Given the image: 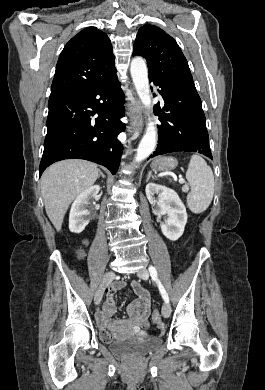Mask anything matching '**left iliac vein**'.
I'll list each match as a JSON object with an SVG mask.
<instances>
[{"mask_svg":"<svg viewBox=\"0 0 265 390\" xmlns=\"http://www.w3.org/2000/svg\"><path fill=\"white\" fill-rule=\"evenodd\" d=\"M137 274L143 280H147L149 278V272L146 268H142L141 270L138 271ZM170 313H171V306L169 302H165L162 306V315L163 317L167 318L169 317Z\"/></svg>","mask_w":265,"mask_h":390,"instance_id":"obj_1","label":"left iliac vein"}]
</instances>
